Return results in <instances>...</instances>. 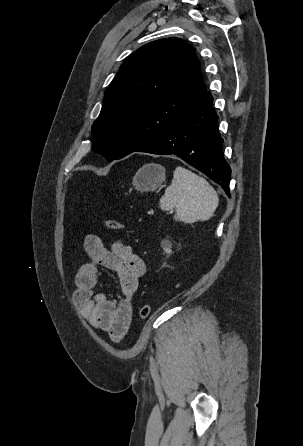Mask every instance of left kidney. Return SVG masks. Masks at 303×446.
Segmentation results:
<instances>
[{"mask_svg":"<svg viewBox=\"0 0 303 446\" xmlns=\"http://www.w3.org/2000/svg\"><path fill=\"white\" fill-rule=\"evenodd\" d=\"M163 249H164V251H165L166 253H168V254L171 253V249H170V248H166V247H164Z\"/></svg>","mask_w":303,"mask_h":446,"instance_id":"left-kidney-1","label":"left kidney"}]
</instances>
